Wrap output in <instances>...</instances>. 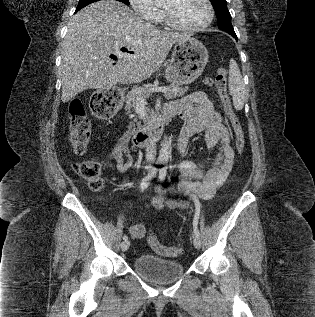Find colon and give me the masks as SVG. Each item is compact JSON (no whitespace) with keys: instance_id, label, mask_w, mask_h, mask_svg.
Masks as SVG:
<instances>
[{"instance_id":"1","label":"colon","mask_w":315,"mask_h":317,"mask_svg":"<svg viewBox=\"0 0 315 317\" xmlns=\"http://www.w3.org/2000/svg\"><path fill=\"white\" fill-rule=\"evenodd\" d=\"M215 85L220 96L224 111L228 116L234 132L235 147L238 155H241L245 148V136L241 123L237 118L227 89V70L220 68L215 77ZM118 99V94L114 90L113 95L107 94V89L96 92L91 100V111L100 119L110 118L114 112ZM68 116L71 129V145L76 155H83L88 147L92 135V122L79 99L70 103ZM75 172L82 177L88 186L98 191L103 186V177L100 161L96 158H88L74 163ZM150 246L160 255L166 257H176L181 254L182 248L179 246H165L161 244L153 231L148 234Z\"/></svg>"}]
</instances>
